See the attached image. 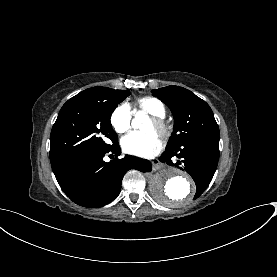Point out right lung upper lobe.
Here are the masks:
<instances>
[{
	"label": "right lung upper lobe",
	"instance_id": "1",
	"mask_svg": "<svg viewBox=\"0 0 277 277\" xmlns=\"http://www.w3.org/2000/svg\"><path fill=\"white\" fill-rule=\"evenodd\" d=\"M110 90H112V89L111 88H107V87H93V88L86 89V90H84L82 92L94 93V94H106Z\"/></svg>",
	"mask_w": 277,
	"mask_h": 277
}]
</instances>
